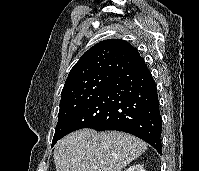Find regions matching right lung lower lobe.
I'll return each mask as SVG.
<instances>
[{
    "label": "right lung lower lobe",
    "instance_id": "right-lung-lower-lobe-1",
    "mask_svg": "<svg viewBox=\"0 0 199 171\" xmlns=\"http://www.w3.org/2000/svg\"><path fill=\"white\" fill-rule=\"evenodd\" d=\"M82 128L127 132L162 153L157 89L144 61L121 71L99 89L77 112L62 137Z\"/></svg>",
    "mask_w": 199,
    "mask_h": 171
}]
</instances>
